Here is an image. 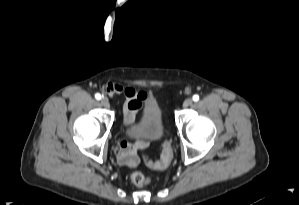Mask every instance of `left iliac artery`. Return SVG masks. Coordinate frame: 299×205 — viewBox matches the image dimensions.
<instances>
[{
	"label": "left iliac artery",
	"instance_id": "44dca946",
	"mask_svg": "<svg viewBox=\"0 0 299 205\" xmlns=\"http://www.w3.org/2000/svg\"><path fill=\"white\" fill-rule=\"evenodd\" d=\"M198 100H199V96H198V95H196V94H195V95H193V101H195V102H196V101H198Z\"/></svg>",
	"mask_w": 299,
	"mask_h": 205
}]
</instances>
